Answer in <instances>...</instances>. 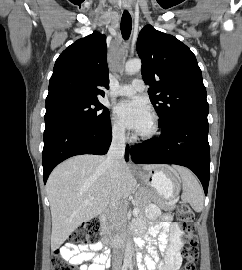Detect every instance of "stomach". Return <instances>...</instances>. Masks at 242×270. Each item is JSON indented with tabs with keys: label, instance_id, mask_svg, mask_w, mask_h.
<instances>
[{
	"label": "stomach",
	"instance_id": "0dacf381",
	"mask_svg": "<svg viewBox=\"0 0 242 270\" xmlns=\"http://www.w3.org/2000/svg\"><path fill=\"white\" fill-rule=\"evenodd\" d=\"M139 178L161 199H172L179 193V176L176 171L168 166H160L147 172H141Z\"/></svg>",
	"mask_w": 242,
	"mask_h": 270
}]
</instances>
